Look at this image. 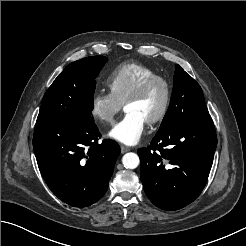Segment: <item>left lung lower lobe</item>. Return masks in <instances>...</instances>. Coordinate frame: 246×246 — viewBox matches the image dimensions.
<instances>
[{"label": "left lung lower lobe", "mask_w": 246, "mask_h": 246, "mask_svg": "<svg viewBox=\"0 0 246 246\" xmlns=\"http://www.w3.org/2000/svg\"><path fill=\"white\" fill-rule=\"evenodd\" d=\"M216 145L209 114L176 122L156 134L148 148L138 150L140 176L150 201L167 211L193 202L206 185Z\"/></svg>", "instance_id": "left-lung-lower-lobe-1"}]
</instances>
